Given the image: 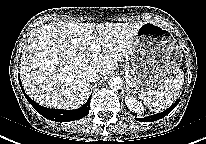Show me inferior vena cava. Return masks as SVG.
<instances>
[{"instance_id": "inferior-vena-cava-1", "label": "inferior vena cava", "mask_w": 206, "mask_h": 144, "mask_svg": "<svg viewBox=\"0 0 206 144\" xmlns=\"http://www.w3.org/2000/svg\"><path fill=\"white\" fill-rule=\"evenodd\" d=\"M101 76L102 75L99 69L92 68V69H89L87 73V80L89 82H96L100 79Z\"/></svg>"}]
</instances>
